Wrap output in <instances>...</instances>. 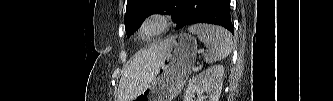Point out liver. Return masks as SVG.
Segmentation results:
<instances>
[{
	"instance_id": "6515ba94",
	"label": "liver",
	"mask_w": 333,
	"mask_h": 101,
	"mask_svg": "<svg viewBox=\"0 0 333 101\" xmlns=\"http://www.w3.org/2000/svg\"><path fill=\"white\" fill-rule=\"evenodd\" d=\"M166 42L140 50L130 60L119 83L118 101H132L149 86L164 60Z\"/></svg>"
}]
</instances>
